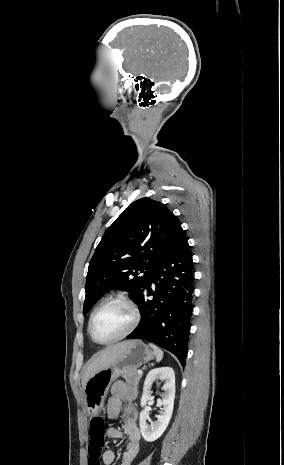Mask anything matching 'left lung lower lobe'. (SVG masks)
Returning a JSON list of instances; mask_svg holds the SVG:
<instances>
[{
    "mask_svg": "<svg viewBox=\"0 0 284 465\" xmlns=\"http://www.w3.org/2000/svg\"><path fill=\"white\" fill-rule=\"evenodd\" d=\"M194 273L190 246L180 227L169 250L147 278L142 319L127 339H143L172 352L185 366L193 311ZM152 296V297H151Z\"/></svg>",
    "mask_w": 284,
    "mask_h": 465,
    "instance_id": "0a47b994",
    "label": "left lung lower lobe"
}]
</instances>
